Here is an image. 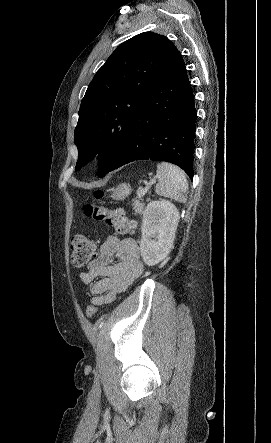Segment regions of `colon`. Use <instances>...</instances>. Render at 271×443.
<instances>
[{
    "label": "colon",
    "mask_w": 271,
    "mask_h": 443,
    "mask_svg": "<svg viewBox=\"0 0 271 443\" xmlns=\"http://www.w3.org/2000/svg\"><path fill=\"white\" fill-rule=\"evenodd\" d=\"M104 193L96 191L94 193V202L88 203L84 206V214L99 222H105L113 226L118 233L125 234L134 227V222L129 220L123 210H110L104 207L100 201L103 199ZM71 261L76 267L87 266L95 257L97 252L96 244L87 239L83 235H76L71 239ZM97 306L91 304L87 308L88 318H94L97 315Z\"/></svg>",
    "instance_id": "5ec220e1"
}]
</instances>
